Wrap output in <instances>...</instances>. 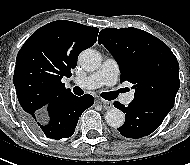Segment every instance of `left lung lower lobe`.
<instances>
[{
	"label": "left lung lower lobe",
	"mask_w": 190,
	"mask_h": 165,
	"mask_svg": "<svg viewBox=\"0 0 190 165\" xmlns=\"http://www.w3.org/2000/svg\"><path fill=\"white\" fill-rule=\"evenodd\" d=\"M114 106L125 113V123L118 128L119 133L134 139L155 131L172 109L162 104L136 101H132L128 107L116 101Z\"/></svg>",
	"instance_id": "left-lung-lower-lobe-1"
}]
</instances>
